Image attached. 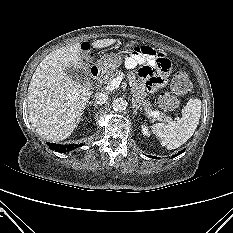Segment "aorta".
<instances>
[{"label": "aorta", "instance_id": "aorta-1", "mask_svg": "<svg viewBox=\"0 0 233 233\" xmlns=\"http://www.w3.org/2000/svg\"><path fill=\"white\" fill-rule=\"evenodd\" d=\"M112 107L115 111H123L127 107V101L124 98H116L113 100Z\"/></svg>", "mask_w": 233, "mask_h": 233}]
</instances>
